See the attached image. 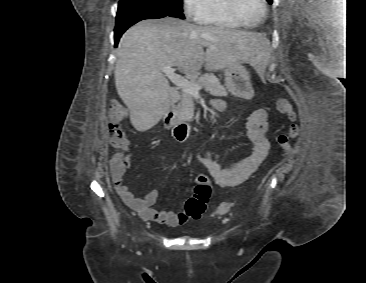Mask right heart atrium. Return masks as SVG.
<instances>
[{
  "mask_svg": "<svg viewBox=\"0 0 366 283\" xmlns=\"http://www.w3.org/2000/svg\"><path fill=\"white\" fill-rule=\"evenodd\" d=\"M208 0H182L185 14L194 20H199L205 13Z\"/></svg>",
  "mask_w": 366,
  "mask_h": 283,
  "instance_id": "obj_1",
  "label": "right heart atrium"
}]
</instances>
